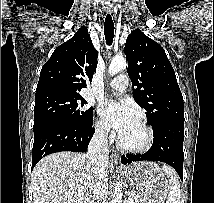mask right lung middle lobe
I'll return each mask as SVG.
<instances>
[{
    "mask_svg": "<svg viewBox=\"0 0 214 203\" xmlns=\"http://www.w3.org/2000/svg\"><path fill=\"white\" fill-rule=\"evenodd\" d=\"M86 103L80 94L54 93L35 98L34 126L51 120L88 126L93 120V109L85 110Z\"/></svg>",
    "mask_w": 214,
    "mask_h": 203,
    "instance_id": "right-lung-middle-lobe-1",
    "label": "right lung middle lobe"
}]
</instances>
